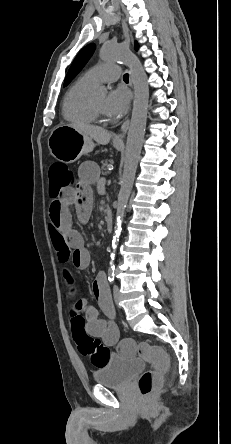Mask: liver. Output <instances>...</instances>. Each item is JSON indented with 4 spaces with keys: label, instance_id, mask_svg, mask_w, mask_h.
Wrapping results in <instances>:
<instances>
[{
    "label": "liver",
    "instance_id": "6515ba94",
    "mask_svg": "<svg viewBox=\"0 0 231 444\" xmlns=\"http://www.w3.org/2000/svg\"><path fill=\"white\" fill-rule=\"evenodd\" d=\"M68 126L76 129L78 132L88 136L92 140L96 141L98 144L107 145L111 139L112 134L97 126L89 124H69Z\"/></svg>",
    "mask_w": 231,
    "mask_h": 444
}]
</instances>
